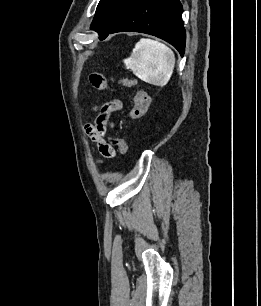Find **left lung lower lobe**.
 <instances>
[{
  "instance_id": "obj_1",
  "label": "left lung lower lobe",
  "mask_w": 261,
  "mask_h": 306,
  "mask_svg": "<svg viewBox=\"0 0 261 306\" xmlns=\"http://www.w3.org/2000/svg\"><path fill=\"white\" fill-rule=\"evenodd\" d=\"M179 0H133L116 25L105 35L116 32H141L157 36L172 44L184 55L186 34Z\"/></svg>"
}]
</instances>
